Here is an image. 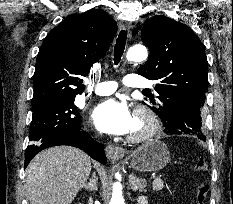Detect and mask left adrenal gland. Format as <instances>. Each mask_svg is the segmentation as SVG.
<instances>
[{
	"mask_svg": "<svg viewBox=\"0 0 233 204\" xmlns=\"http://www.w3.org/2000/svg\"><path fill=\"white\" fill-rule=\"evenodd\" d=\"M129 183L132 191L146 192V184L144 179H139L136 175L131 174L129 176Z\"/></svg>",
	"mask_w": 233,
	"mask_h": 204,
	"instance_id": "a2214340",
	"label": "left adrenal gland"
}]
</instances>
